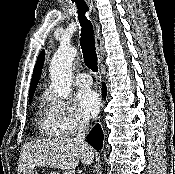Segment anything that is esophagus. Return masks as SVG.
<instances>
[{
  "instance_id": "1",
  "label": "esophagus",
  "mask_w": 175,
  "mask_h": 174,
  "mask_svg": "<svg viewBox=\"0 0 175 174\" xmlns=\"http://www.w3.org/2000/svg\"><path fill=\"white\" fill-rule=\"evenodd\" d=\"M89 4H90L91 10L94 11L93 3L89 2ZM95 44H96V51H97L98 59H99V62L101 63L103 54H104V47H103V40L100 34V28L98 24L96 23V21H95Z\"/></svg>"
}]
</instances>
